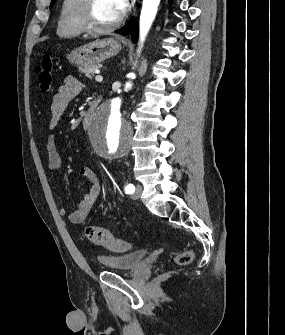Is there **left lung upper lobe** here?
I'll return each mask as SVG.
<instances>
[{
    "mask_svg": "<svg viewBox=\"0 0 285 335\" xmlns=\"http://www.w3.org/2000/svg\"><path fill=\"white\" fill-rule=\"evenodd\" d=\"M56 0H52L50 8L55 4Z\"/></svg>",
    "mask_w": 285,
    "mask_h": 335,
    "instance_id": "5c2ea615",
    "label": "left lung upper lobe"
}]
</instances>
